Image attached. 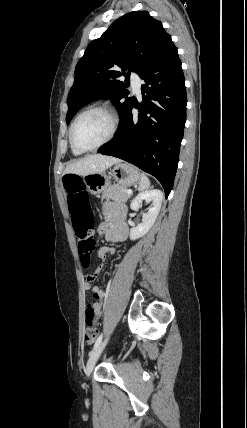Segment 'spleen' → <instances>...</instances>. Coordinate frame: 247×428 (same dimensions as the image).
<instances>
[{
    "label": "spleen",
    "mask_w": 247,
    "mask_h": 428,
    "mask_svg": "<svg viewBox=\"0 0 247 428\" xmlns=\"http://www.w3.org/2000/svg\"><path fill=\"white\" fill-rule=\"evenodd\" d=\"M149 186H150V181L148 177L144 173H141L139 190L142 191V190L148 189Z\"/></svg>",
    "instance_id": "1"
}]
</instances>
